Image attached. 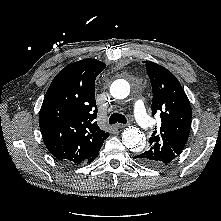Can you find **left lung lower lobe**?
<instances>
[{"label": "left lung lower lobe", "mask_w": 221, "mask_h": 221, "mask_svg": "<svg viewBox=\"0 0 221 221\" xmlns=\"http://www.w3.org/2000/svg\"><path fill=\"white\" fill-rule=\"evenodd\" d=\"M134 158H135L138 162H140L141 164L146 165V164L143 162L142 158H141L139 155L135 156Z\"/></svg>", "instance_id": "obj_1"}]
</instances>
